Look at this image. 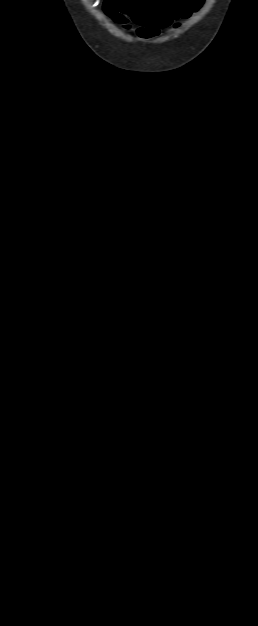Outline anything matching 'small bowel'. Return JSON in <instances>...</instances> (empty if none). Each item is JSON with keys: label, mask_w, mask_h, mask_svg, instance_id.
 <instances>
[{"label": "small bowel", "mask_w": 258, "mask_h": 626, "mask_svg": "<svg viewBox=\"0 0 258 626\" xmlns=\"http://www.w3.org/2000/svg\"><path fill=\"white\" fill-rule=\"evenodd\" d=\"M202 4L203 0H181L176 6L153 17L152 20L160 22V24L149 25L137 22L139 25L137 34L144 39L154 38L160 34L163 28L170 26L174 21L188 18L190 14L199 9ZM105 10L116 22L122 24L127 23L128 16H132L126 12L125 9H119L116 6V2L113 0H107L105 2Z\"/></svg>", "instance_id": "1"}]
</instances>
